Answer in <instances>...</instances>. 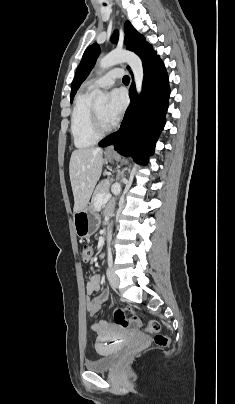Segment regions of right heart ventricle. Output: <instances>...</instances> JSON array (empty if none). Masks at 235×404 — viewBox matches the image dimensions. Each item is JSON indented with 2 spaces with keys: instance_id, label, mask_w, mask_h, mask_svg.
Segmentation results:
<instances>
[{
  "instance_id": "right-heart-ventricle-1",
  "label": "right heart ventricle",
  "mask_w": 235,
  "mask_h": 404,
  "mask_svg": "<svg viewBox=\"0 0 235 404\" xmlns=\"http://www.w3.org/2000/svg\"><path fill=\"white\" fill-rule=\"evenodd\" d=\"M89 90L80 93L74 103L71 115V135L74 145L83 149L95 145L97 137L92 128L91 106L88 103Z\"/></svg>"
}]
</instances>
